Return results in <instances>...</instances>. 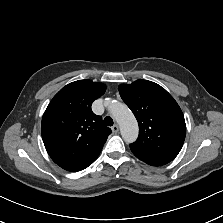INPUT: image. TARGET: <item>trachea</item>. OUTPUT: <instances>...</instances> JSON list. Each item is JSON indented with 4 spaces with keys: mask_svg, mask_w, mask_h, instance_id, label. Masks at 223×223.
I'll return each mask as SVG.
<instances>
[{
    "mask_svg": "<svg viewBox=\"0 0 223 223\" xmlns=\"http://www.w3.org/2000/svg\"><path fill=\"white\" fill-rule=\"evenodd\" d=\"M113 119L111 118V117H109V116H107V117H105V119H104V124L106 125V126H112L113 125Z\"/></svg>",
    "mask_w": 223,
    "mask_h": 223,
    "instance_id": "3493384b",
    "label": "trachea"
}]
</instances>
